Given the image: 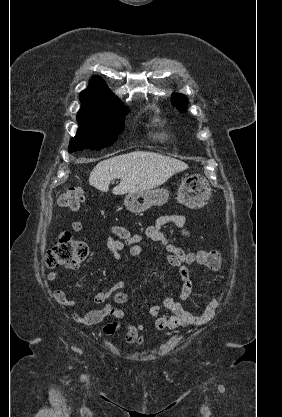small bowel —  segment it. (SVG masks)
Returning <instances> with one entry per match:
<instances>
[{
    "label": "small bowel",
    "mask_w": 282,
    "mask_h": 417,
    "mask_svg": "<svg viewBox=\"0 0 282 417\" xmlns=\"http://www.w3.org/2000/svg\"><path fill=\"white\" fill-rule=\"evenodd\" d=\"M186 222V216L183 214L167 213L159 216L152 225L146 227L141 233H131L120 225H111L107 229L110 234L107 246L116 261L122 260V252L126 248L130 250L133 256L140 254L142 251L140 244L147 239L166 251V261L176 269V274L181 281V288L173 296L166 297L161 302L153 304L149 310V314L154 321V327L158 331L175 330L187 325H203L214 317L218 307V301L213 299L205 311L201 315L196 316L184 309L180 303V301L188 299L193 290V270L188 265L189 259L186 253L169 240L163 229L166 226H174L183 237H190L191 233L186 228ZM71 228L74 232H80L84 228V222L74 221ZM46 278L47 281L54 282L59 278V272L51 271ZM124 286L125 281H119L112 287L99 291L94 296V303L101 305L100 308L92 310L84 316L72 312L71 316L77 323L88 326L101 323L107 317H113L116 320L104 325L102 333L106 336H112L119 330L124 329V339L127 344L141 345L144 343L145 326L143 324H121L120 320L126 316L125 311L107 302L112 293L116 291L113 297L114 303H124L127 297L123 292L119 291ZM53 298L63 306L73 307L75 304L74 300L68 298L60 288L53 290Z\"/></svg>",
    "instance_id": "small-bowel-1"
}]
</instances>
